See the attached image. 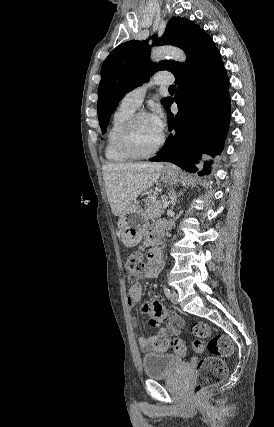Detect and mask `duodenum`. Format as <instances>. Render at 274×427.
Returning <instances> with one entry per match:
<instances>
[{
	"instance_id": "1",
	"label": "duodenum",
	"mask_w": 274,
	"mask_h": 427,
	"mask_svg": "<svg viewBox=\"0 0 274 427\" xmlns=\"http://www.w3.org/2000/svg\"><path fill=\"white\" fill-rule=\"evenodd\" d=\"M160 252V247L154 242L152 248L149 251V260L152 263H158L160 258Z\"/></svg>"
}]
</instances>
